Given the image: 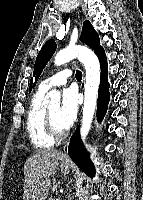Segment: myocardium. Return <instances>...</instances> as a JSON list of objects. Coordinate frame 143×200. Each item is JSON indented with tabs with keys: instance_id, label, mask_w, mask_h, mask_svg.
<instances>
[{
	"instance_id": "f54148a6",
	"label": "myocardium",
	"mask_w": 143,
	"mask_h": 200,
	"mask_svg": "<svg viewBox=\"0 0 143 200\" xmlns=\"http://www.w3.org/2000/svg\"><path fill=\"white\" fill-rule=\"evenodd\" d=\"M44 128L45 132L48 135L49 138H51L53 141H59L66 137L68 130H64L62 132H58L52 122L49 110L45 111L44 115Z\"/></svg>"
}]
</instances>
